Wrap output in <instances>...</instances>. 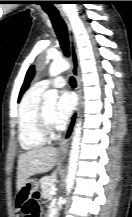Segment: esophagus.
Segmentation results:
<instances>
[{"mask_svg": "<svg viewBox=\"0 0 132 217\" xmlns=\"http://www.w3.org/2000/svg\"><path fill=\"white\" fill-rule=\"evenodd\" d=\"M63 18L66 22L67 28H68V37H69V48H70V60L72 63V68H73V74L76 78V83H77V87H76V92L78 95V103H77V107L75 109V112L72 115V118L70 120V123L59 143V147H58V153L62 156H66L68 153V146H69V142L72 138L74 129H75V125H76V121L78 118V114H79V109H80V104H81V77H80V62H79V55H78V51H77V47H76V41H75V35L72 29V26L68 20V18L66 16L63 15Z\"/></svg>", "mask_w": 132, "mask_h": 217, "instance_id": "34e87169", "label": "esophagus"}]
</instances>
